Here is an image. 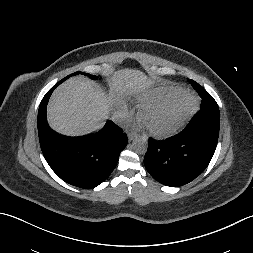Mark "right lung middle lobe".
<instances>
[{
  "label": "right lung middle lobe",
  "mask_w": 253,
  "mask_h": 253,
  "mask_svg": "<svg viewBox=\"0 0 253 253\" xmlns=\"http://www.w3.org/2000/svg\"><path fill=\"white\" fill-rule=\"evenodd\" d=\"M77 74H84V75H87L88 77L92 78V79H97L96 76L94 75H90V74H86V73H83V72H75L67 77H65L64 79H62L61 81H59L57 84L59 85L60 83H62L63 81H65L66 79H68L70 76H73V75H77Z\"/></svg>",
  "instance_id": "1"
}]
</instances>
